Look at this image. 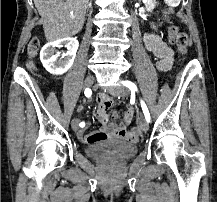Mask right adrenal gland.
Here are the masks:
<instances>
[{"mask_svg":"<svg viewBox=\"0 0 217 202\" xmlns=\"http://www.w3.org/2000/svg\"><path fill=\"white\" fill-rule=\"evenodd\" d=\"M91 4H92V0H90V2H89V4H88V8H87V10H89Z\"/></svg>","mask_w":217,"mask_h":202,"instance_id":"obj_1","label":"right adrenal gland"}]
</instances>
